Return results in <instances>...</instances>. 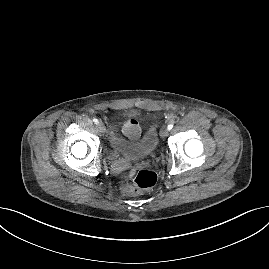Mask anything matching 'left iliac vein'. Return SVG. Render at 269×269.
Returning <instances> with one entry per match:
<instances>
[{"mask_svg":"<svg viewBox=\"0 0 269 269\" xmlns=\"http://www.w3.org/2000/svg\"><path fill=\"white\" fill-rule=\"evenodd\" d=\"M160 136L162 139L166 138L168 136V129L167 128H162L160 131Z\"/></svg>","mask_w":269,"mask_h":269,"instance_id":"4c4485c4","label":"left iliac vein"}]
</instances>
